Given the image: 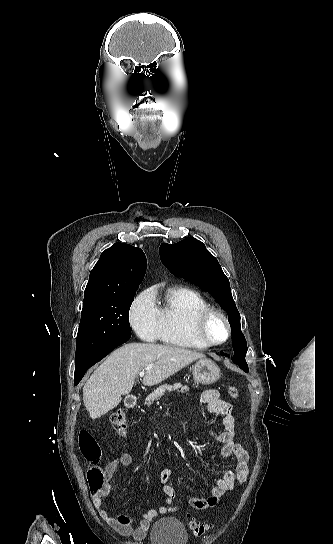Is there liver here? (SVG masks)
<instances>
[{
    "label": "liver",
    "instance_id": "1",
    "mask_svg": "<svg viewBox=\"0 0 333 544\" xmlns=\"http://www.w3.org/2000/svg\"><path fill=\"white\" fill-rule=\"evenodd\" d=\"M204 354L153 343H129L113 351L83 387V401L91 419L114 409L129 394L137 375L145 370L143 384L153 386L169 378Z\"/></svg>",
    "mask_w": 333,
    "mask_h": 544
}]
</instances>
